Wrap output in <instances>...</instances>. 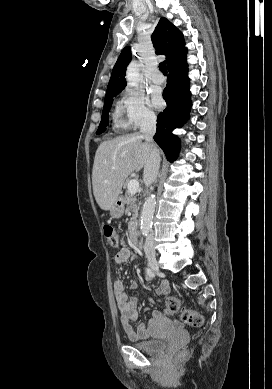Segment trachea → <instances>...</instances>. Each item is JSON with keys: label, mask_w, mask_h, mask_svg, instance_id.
Wrapping results in <instances>:
<instances>
[{"label": "trachea", "mask_w": 272, "mask_h": 389, "mask_svg": "<svg viewBox=\"0 0 272 389\" xmlns=\"http://www.w3.org/2000/svg\"><path fill=\"white\" fill-rule=\"evenodd\" d=\"M159 70L164 74L167 75V67L165 62H161L159 64Z\"/></svg>", "instance_id": "3493384b"}]
</instances>
